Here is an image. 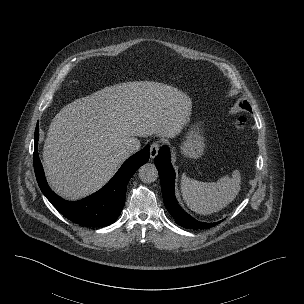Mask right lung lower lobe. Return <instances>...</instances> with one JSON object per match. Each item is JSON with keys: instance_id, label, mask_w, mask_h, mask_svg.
<instances>
[{"instance_id": "1", "label": "right lung lower lobe", "mask_w": 304, "mask_h": 304, "mask_svg": "<svg viewBox=\"0 0 304 304\" xmlns=\"http://www.w3.org/2000/svg\"><path fill=\"white\" fill-rule=\"evenodd\" d=\"M38 138L37 124L34 136V170L38 185L50 203L67 219L82 226H108L115 222L124 206L130 178L149 160V145L127 159L101 190L83 200L71 202L57 196L47 185L37 150Z\"/></svg>"}]
</instances>
